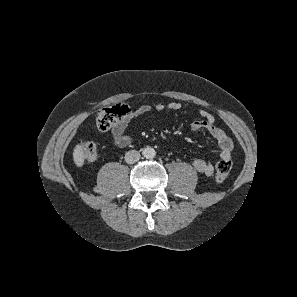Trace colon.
<instances>
[{"label": "colon", "mask_w": 297, "mask_h": 297, "mask_svg": "<svg viewBox=\"0 0 297 297\" xmlns=\"http://www.w3.org/2000/svg\"><path fill=\"white\" fill-rule=\"evenodd\" d=\"M130 108L124 104H118L101 110L96 117L97 127L101 131L110 130L115 123L125 118L130 113ZM82 153L86 160L93 161L98 157V146L92 141L84 142ZM232 168L230 159H221L216 165L215 180L217 183L223 182L229 175Z\"/></svg>", "instance_id": "obj_1"}]
</instances>
